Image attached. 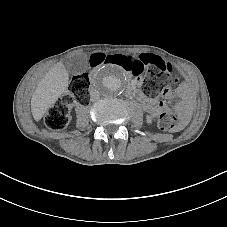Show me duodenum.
<instances>
[{"instance_id": "410a0bca", "label": "duodenum", "mask_w": 227, "mask_h": 227, "mask_svg": "<svg viewBox=\"0 0 227 227\" xmlns=\"http://www.w3.org/2000/svg\"><path fill=\"white\" fill-rule=\"evenodd\" d=\"M131 90H132L133 93L135 92L134 84H132Z\"/></svg>"}]
</instances>
